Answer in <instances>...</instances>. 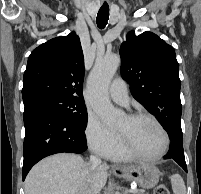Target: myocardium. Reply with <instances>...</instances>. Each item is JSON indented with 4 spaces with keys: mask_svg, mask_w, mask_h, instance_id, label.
Segmentation results:
<instances>
[{
    "mask_svg": "<svg viewBox=\"0 0 201 194\" xmlns=\"http://www.w3.org/2000/svg\"><path fill=\"white\" fill-rule=\"evenodd\" d=\"M128 118H130V119L147 118V119L151 120L153 123H155L156 126L160 129V131L164 137V146L157 154H154V155L142 154V153L136 151L131 146L127 137L123 133L119 132L121 143H122L124 150L131 157L141 159V160L153 161V160H158V159L162 158L168 152V150L170 148L171 139H170V135H169L167 129L160 122V120L158 118H156L154 115L147 113V112H134V113L129 114Z\"/></svg>",
    "mask_w": 201,
    "mask_h": 194,
    "instance_id": "obj_1",
    "label": "myocardium"
}]
</instances>
